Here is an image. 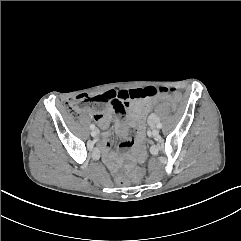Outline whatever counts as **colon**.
<instances>
[{"mask_svg": "<svg viewBox=\"0 0 241 241\" xmlns=\"http://www.w3.org/2000/svg\"><path fill=\"white\" fill-rule=\"evenodd\" d=\"M159 92L163 93L166 92V90L157 89V94ZM137 95L138 90L136 88L127 90H110L108 93L96 96L81 94L70 99L66 103V109L71 116H78L83 110L100 109L105 104H111L116 108V111L123 116L128 100L135 99ZM160 103L167 104L172 111L177 109V102L172 97H163L152 101L151 105L144 109V113L148 114L149 112H152ZM118 181L120 184H124V180L122 178H119Z\"/></svg>", "mask_w": 241, "mask_h": 241, "instance_id": "1", "label": "colon"}]
</instances>
